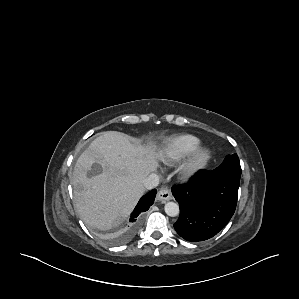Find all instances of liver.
I'll use <instances>...</instances> for the list:
<instances>
[{
	"instance_id": "liver-1",
	"label": "liver",
	"mask_w": 299,
	"mask_h": 299,
	"mask_svg": "<svg viewBox=\"0 0 299 299\" xmlns=\"http://www.w3.org/2000/svg\"><path fill=\"white\" fill-rule=\"evenodd\" d=\"M165 158L153 144L131 143L117 131L101 133L79 156L71 177L75 208L84 223L109 230L125 220L145 191L143 180ZM94 164L101 170L88 177Z\"/></svg>"
}]
</instances>
